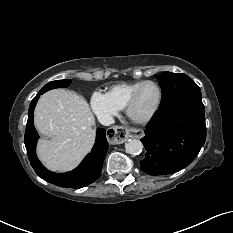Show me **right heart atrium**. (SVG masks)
<instances>
[{
    "instance_id": "right-heart-atrium-1",
    "label": "right heart atrium",
    "mask_w": 233,
    "mask_h": 233,
    "mask_svg": "<svg viewBox=\"0 0 233 233\" xmlns=\"http://www.w3.org/2000/svg\"><path fill=\"white\" fill-rule=\"evenodd\" d=\"M90 106L97 118L103 122H110L119 112V108L112 103L106 94L95 91L90 97Z\"/></svg>"
}]
</instances>
